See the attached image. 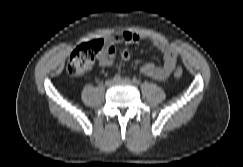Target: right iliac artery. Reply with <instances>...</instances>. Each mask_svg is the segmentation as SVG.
<instances>
[{
    "label": "right iliac artery",
    "mask_w": 243,
    "mask_h": 167,
    "mask_svg": "<svg viewBox=\"0 0 243 167\" xmlns=\"http://www.w3.org/2000/svg\"><path fill=\"white\" fill-rule=\"evenodd\" d=\"M114 81H119V80H121V76H120V74H116L115 76H114Z\"/></svg>",
    "instance_id": "1"
}]
</instances>
